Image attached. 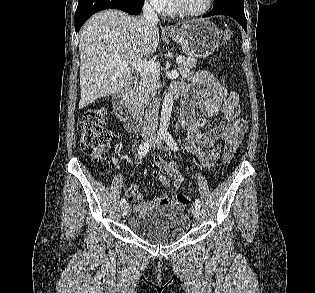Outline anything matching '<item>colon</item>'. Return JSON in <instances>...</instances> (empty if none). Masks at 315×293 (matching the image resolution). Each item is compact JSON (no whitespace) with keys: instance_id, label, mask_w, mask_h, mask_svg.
I'll return each mask as SVG.
<instances>
[{"instance_id":"obj_1","label":"colon","mask_w":315,"mask_h":293,"mask_svg":"<svg viewBox=\"0 0 315 293\" xmlns=\"http://www.w3.org/2000/svg\"><path fill=\"white\" fill-rule=\"evenodd\" d=\"M223 36L225 40L229 41L233 36L232 29L226 28ZM225 83H229V80H225ZM105 118V108L89 109L85 111L79 123L81 149L86 155L93 158L103 156L111 145L110 135L103 129ZM231 158V153L225 152L223 162L228 163ZM190 202L191 200L186 194L178 193L176 195V203L178 205L184 207L188 206Z\"/></svg>"}]
</instances>
